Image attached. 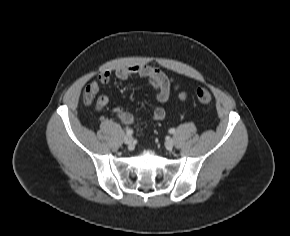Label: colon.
I'll use <instances>...</instances> for the list:
<instances>
[{"mask_svg": "<svg viewBox=\"0 0 290 236\" xmlns=\"http://www.w3.org/2000/svg\"><path fill=\"white\" fill-rule=\"evenodd\" d=\"M95 98V94L92 90L87 89L84 92V101L86 104H91ZM196 98L198 102L202 105H207L212 100V95L210 91L205 87H199L196 90Z\"/></svg>", "mask_w": 290, "mask_h": 236, "instance_id": "1", "label": "colon"}]
</instances>
